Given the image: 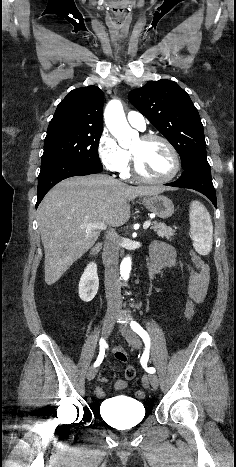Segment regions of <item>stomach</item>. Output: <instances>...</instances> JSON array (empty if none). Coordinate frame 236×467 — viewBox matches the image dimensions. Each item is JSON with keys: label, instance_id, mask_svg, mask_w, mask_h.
<instances>
[{"label": "stomach", "instance_id": "1", "mask_svg": "<svg viewBox=\"0 0 236 467\" xmlns=\"http://www.w3.org/2000/svg\"><path fill=\"white\" fill-rule=\"evenodd\" d=\"M142 203L150 212L156 214L162 219L169 218L174 213V204L166 196L155 195L145 197L143 198Z\"/></svg>", "mask_w": 236, "mask_h": 467}]
</instances>
